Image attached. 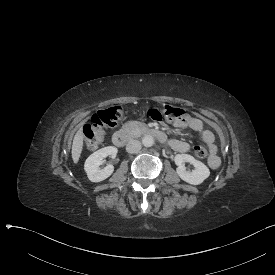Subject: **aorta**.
I'll return each mask as SVG.
<instances>
[{
  "label": "aorta",
  "instance_id": "obj_1",
  "mask_svg": "<svg viewBox=\"0 0 275 275\" xmlns=\"http://www.w3.org/2000/svg\"><path fill=\"white\" fill-rule=\"evenodd\" d=\"M142 144L145 147H151L154 144V138H153V136H151V135H145L142 138Z\"/></svg>",
  "mask_w": 275,
  "mask_h": 275
}]
</instances>
